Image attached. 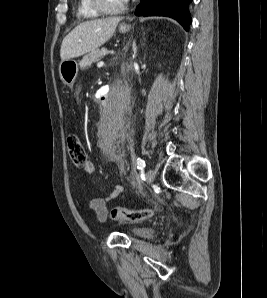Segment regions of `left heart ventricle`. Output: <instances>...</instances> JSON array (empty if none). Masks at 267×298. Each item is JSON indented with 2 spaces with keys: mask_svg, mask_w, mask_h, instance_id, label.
I'll return each mask as SVG.
<instances>
[{
  "mask_svg": "<svg viewBox=\"0 0 267 298\" xmlns=\"http://www.w3.org/2000/svg\"><path fill=\"white\" fill-rule=\"evenodd\" d=\"M109 8H117L124 4L123 0H105Z\"/></svg>",
  "mask_w": 267,
  "mask_h": 298,
  "instance_id": "left-heart-ventricle-1",
  "label": "left heart ventricle"
}]
</instances>
